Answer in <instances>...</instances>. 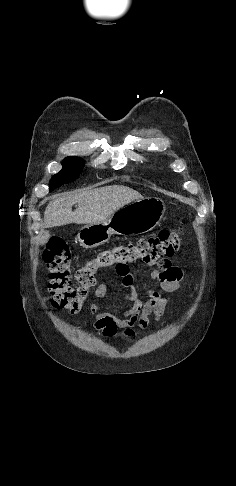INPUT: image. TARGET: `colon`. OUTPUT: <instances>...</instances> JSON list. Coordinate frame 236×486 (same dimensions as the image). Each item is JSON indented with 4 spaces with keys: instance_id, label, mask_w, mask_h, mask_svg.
<instances>
[{
    "instance_id": "1",
    "label": "colon",
    "mask_w": 236,
    "mask_h": 486,
    "mask_svg": "<svg viewBox=\"0 0 236 486\" xmlns=\"http://www.w3.org/2000/svg\"><path fill=\"white\" fill-rule=\"evenodd\" d=\"M182 243L181 232L162 230L158 234L142 238L133 243H124L105 249L87 260L76 271L77 287L71 281L72 254L65 241L51 239L43 253V259L50 270L49 291L52 305L72 313L79 311L86 301L89 290L96 283L97 272L106 267L128 266L136 260L150 263L172 256Z\"/></svg>"
}]
</instances>
